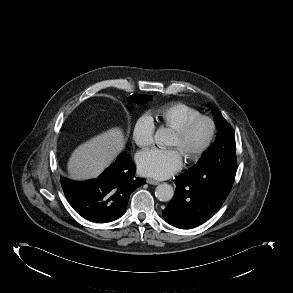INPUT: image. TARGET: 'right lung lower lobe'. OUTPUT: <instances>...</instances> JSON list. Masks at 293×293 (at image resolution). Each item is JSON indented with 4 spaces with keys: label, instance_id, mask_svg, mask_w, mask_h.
I'll list each match as a JSON object with an SVG mask.
<instances>
[{
    "label": "right lung lower lobe",
    "instance_id": "98d812e1",
    "mask_svg": "<svg viewBox=\"0 0 293 293\" xmlns=\"http://www.w3.org/2000/svg\"><path fill=\"white\" fill-rule=\"evenodd\" d=\"M130 155L122 153L98 179L73 182L62 179L64 194L73 209L93 222H109L122 216L130 194L146 183L135 177Z\"/></svg>",
    "mask_w": 293,
    "mask_h": 293
}]
</instances>
